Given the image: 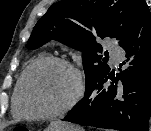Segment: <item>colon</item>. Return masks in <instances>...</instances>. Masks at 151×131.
Segmentation results:
<instances>
[{"instance_id":"5ec220e1","label":"colon","mask_w":151,"mask_h":131,"mask_svg":"<svg viewBox=\"0 0 151 131\" xmlns=\"http://www.w3.org/2000/svg\"><path fill=\"white\" fill-rule=\"evenodd\" d=\"M13 131H31V130L25 126H17L13 129Z\"/></svg>"}]
</instances>
